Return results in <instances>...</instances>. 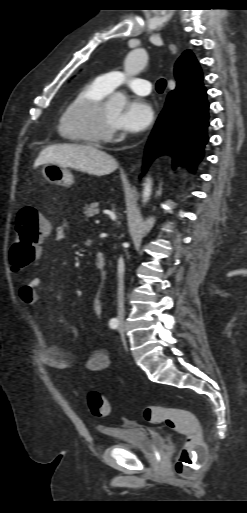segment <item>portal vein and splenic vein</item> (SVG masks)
<instances>
[{
  "label": "portal vein and splenic vein",
  "mask_w": 247,
  "mask_h": 513,
  "mask_svg": "<svg viewBox=\"0 0 247 513\" xmlns=\"http://www.w3.org/2000/svg\"><path fill=\"white\" fill-rule=\"evenodd\" d=\"M100 221L99 220H96L95 223H99Z\"/></svg>",
  "instance_id": "1"
}]
</instances>
